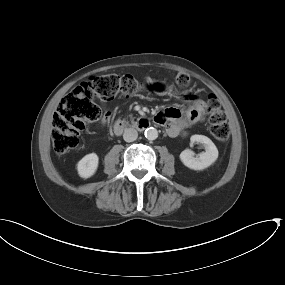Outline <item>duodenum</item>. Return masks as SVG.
Masks as SVG:
<instances>
[{
    "label": "duodenum",
    "mask_w": 285,
    "mask_h": 285,
    "mask_svg": "<svg viewBox=\"0 0 285 285\" xmlns=\"http://www.w3.org/2000/svg\"><path fill=\"white\" fill-rule=\"evenodd\" d=\"M149 126H150V122L147 118L135 119L134 121L121 119V120L116 121L113 124L112 131L115 135H120L128 127H131L138 131H144Z\"/></svg>",
    "instance_id": "duodenum-1"
}]
</instances>
